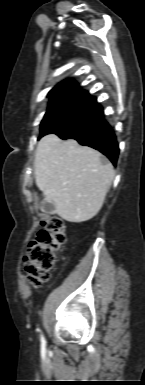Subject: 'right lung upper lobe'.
Masks as SVG:
<instances>
[{
	"label": "right lung upper lobe",
	"instance_id": "right-lung-upper-lobe-1",
	"mask_svg": "<svg viewBox=\"0 0 145 385\" xmlns=\"http://www.w3.org/2000/svg\"><path fill=\"white\" fill-rule=\"evenodd\" d=\"M77 91H83L79 89V86L76 82L67 80L63 83L57 85L54 87L48 94V97L50 99H53L54 97H57L62 94L70 93V92H77Z\"/></svg>",
	"mask_w": 145,
	"mask_h": 385
}]
</instances>
